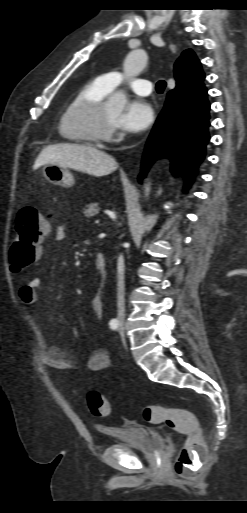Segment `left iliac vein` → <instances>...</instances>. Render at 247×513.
Returning <instances> with one entry per match:
<instances>
[{
  "instance_id": "obj_1",
  "label": "left iliac vein",
  "mask_w": 247,
  "mask_h": 513,
  "mask_svg": "<svg viewBox=\"0 0 247 513\" xmlns=\"http://www.w3.org/2000/svg\"><path fill=\"white\" fill-rule=\"evenodd\" d=\"M119 332H120V335H121L122 341H123V343L125 344V343H126V339H125L124 326H123V324H121V325H120V327H119Z\"/></svg>"
}]
</instances>
